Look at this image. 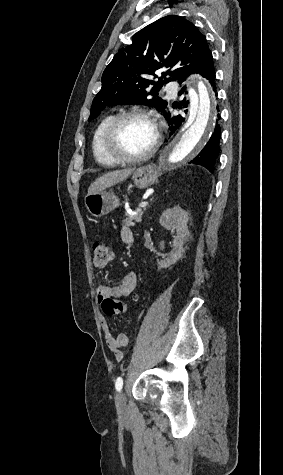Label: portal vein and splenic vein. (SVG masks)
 I'll return each instance as SVG.
<instances>
[{"instance_id":"obj_1","label":"portal vein and splenic vein","mask_w":283,"mask_h":475,"mask_svg":"<svg viewBox=\"0 0 283 475\" xmlns=\"http://www.w3.org/2000/svg\"><path fill=\"white\" fill-rule=\"evenodd\" d=\"M146 206H148V202H141V204H139V208H146Z\"/></svg>"}]
</instances>
